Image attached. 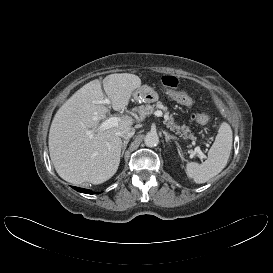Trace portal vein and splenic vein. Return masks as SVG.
<instances>
[{"label":"portal vein and splenic vein","mask_w":273,"mask_h":273,"mask_svg":"<svg viewBox=\"0 0 273 273\" xmlns=\"http://www.w3.org/2000/svg\"><path fill=\"white\" fill-rule=\"evenodd\" d=\"M102 103L110 104L111 102H110L109 98H106V99H104L102 101ZM154 115L157 116V117H161L162 112L161 111H156V112H154ZM119 121H120L119 117H110L109 119L102 122V124L99 126V129L100 130L109 129L110 127L118 125ZM196 153H200V158L201 159L205 158V155L200 151V149L198 147H196L195 150L191 152V157L195 156Z\"/></svg>","instance_id":"1"}]
</instances>
